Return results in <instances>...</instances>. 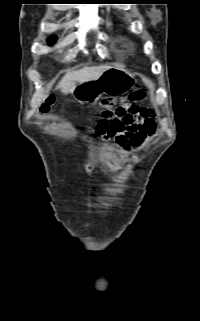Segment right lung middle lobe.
I'll use <instances>...</instances> for the list:
<instances>
[{"instance_id": "obj_1", "label": "right lung middle lobe", "mask_w": 200, "mask_h": 321, "mask_svg": "<svg viewBox=\"0 0 200 321\" xmlns=\"http://www.w3.org/2000/svg\"><path fill=\"white\" fill-rule=\"evenodd\" d=\"M55 40H56V37H55V36H52V37H50V38L48 39V42H49V43H54Z\"/></svg>"}]
</instances>
